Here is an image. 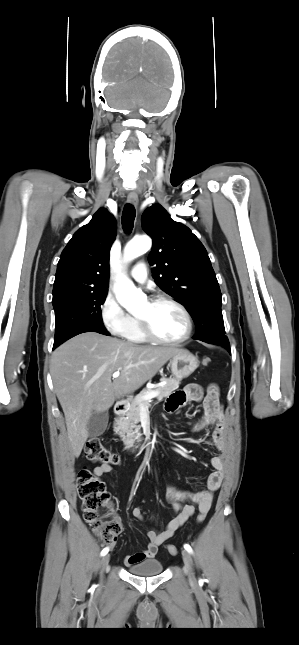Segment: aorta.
Here are the masks:
<instances>
[{
  "instance_id": "1",
  "label": "aorta",
  "mask_w": 299,
  "mask_h": 645,
  "mask_svg": "<svg viewBox=\"0 0 299 645\" xmlns=\"http://www.w3.org/2000/svg\"><path fill=\"white\" fill-rule=\"evenodd\" d=\"M151 239L147 236L131 240L125 247L124 258L131 261L151 248ZM116 298L118 302L129 312L134 313L141 308L145 300V294L138 290L134 284L126 277H123L115 287Z\"/></svg>"
}]
</instances>
